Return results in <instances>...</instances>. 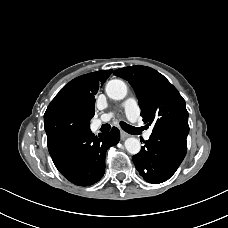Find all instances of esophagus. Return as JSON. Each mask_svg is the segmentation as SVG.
I'll return each instance as SVG.
<instances>
[{
	"label": "esophagus",
	"instance_id": "34e87169",
	"mask_svg": "<svg viewBox=\"0 0 228 228\" xmlns=\"http://www.w3.org/2000/svg\"><path fill=\"white\" fill-rule=\"evenodd\" d=\"M120 135H121V139L122 140H125L126 138H128L130 135L124 131H121L120 132Z\"/></svg>",
	"mask_w": 228,
	"mask_h": 228
}]
</instances>
